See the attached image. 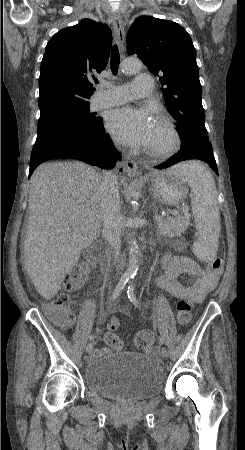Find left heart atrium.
Segmentation results:
<instances>
[{
	"label": "left heart atrium",
	"mask_w": 245,
	"mask_h": 450,
	"mask_svg": "<svg viewBox=\"0 0 245 450\" xmlns=\"http://www.w3.org/2000/svg\"><path fill=\"white\" fill-rule=\"evenodd\" d=\"M106 125L117 141L139 147L149 145L155 123L147 109L128 105L110 111Z\"/></svg>",
	"instance_id": "1"
}]
</instances>
